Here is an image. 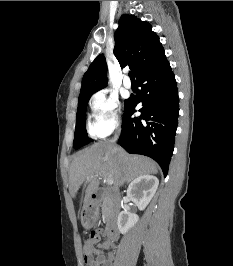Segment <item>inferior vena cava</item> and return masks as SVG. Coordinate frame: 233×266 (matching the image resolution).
Here are the masks:
<instances>
[{"label": "inferior vena cava", "mask_w": 233, "mask_h": 266, "mask_svg": "<svg viewBox=\"0 0 233 266\" xmlns=\"http://www.w3.org/2000/svg\"><path fill=\"white\" fill-rule=\"evenodd\" d=\"M119 132H120V130L118 129V131H117V134L114 136V138L111 140V142L114 144L116 141H117V139H118V137H119Z\"/></svg>", "instance_id": "obj_1"}]
</instances>
